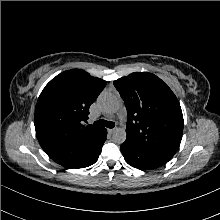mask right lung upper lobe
<instances>
[{
    "instance_id": "cb5924a9",
    "label": "right lung upper lobe",
    "mask_w": 220,
    "mask_h": 220,
    "mask_svg": "<svg viewBox=\"0 0 220 220\" xmlns=\"http://www.w3.org/2000/svg\"><path fill=\"white\" fill-rule=\"evenodd\" d=\"M106 81L80 69L64 71L41 92L35 110V130L46 154L67 167L83 165L105 128L84 125L89 107Z\"/></svg>"
}]
</instances>
